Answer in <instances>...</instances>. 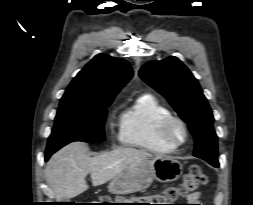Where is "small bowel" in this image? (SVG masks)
I'll list each match as a JSON object with an SVG mask.
<instances>
[{"mask_svg":"<svg viewBox=\"0 0 253 205\" xmlns=\"http://www.w3.org/2000/svg\"><path fill=\"white\" fill-rule=\"evenodd\" d=\"M188 201L192 204L190 205H202L200 203V193H195L188 197Z\"/></svg>","mask_w":253,"mask_h":205,"instance_id":"1","label":"small bowel"}]
</instances>
